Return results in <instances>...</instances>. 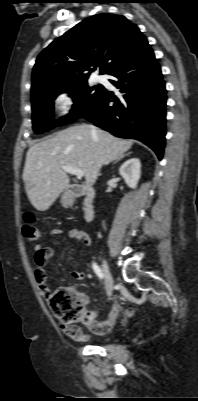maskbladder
I'll use <instances>...</instances> for the list:
<instances>
[{
  "mask_svg": "<svg viewBox=\"0 0 198 401\" xmlns=\"http://www.w3.org/2000/svg\"><path fill=\"white\" fill-rule=\"evenodd\" d=\"M100 340L102 341V342H107L108 340H109V338H108V336H106V335H101L100 336Z\"/></svg>",
  "mask_w": 198,
  "mask_h": 401,
  "instance_id": "obj_1",
  "label": "bladder"
}]
</instances>
